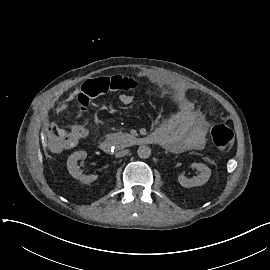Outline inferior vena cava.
Wrapping results in <instances>:
<instances>
[{
	"label": "inferior vena cava",
	"mask_w": 270,
	"mask_h": 270,
	"mask_svg": "<svg viewBox=\"0 0 270 270\" xmlns=\"http://www.w3.org/2000/svg\"><path fill=\"white\" fill-rule=\"evenodd\" d=\"M129 153V150H122L116 154V157H123Z\"/></svg>",
	"instance_id": "1"
}]
</instances>
